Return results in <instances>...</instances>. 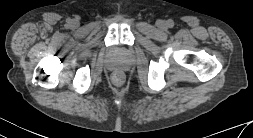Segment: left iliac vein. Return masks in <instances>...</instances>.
I'll use <instances>...</instances> for the list:
<instances>
[{"mask_svg": "<svg viewBox=\"0 0 253 138\" xmlns=\"http://www.w3.org/2000/svg\"><path fill=\"white\" fill-rule=\"evenodd\" d=\"M158 27L161 28V29H165L167 27V23L163 20H160L158 22Z\"/></svg>", "mask_w": 253, "mask_h": 138, "instance_id": "obj_1", "label": "left iliac vein"}]
</instances>
